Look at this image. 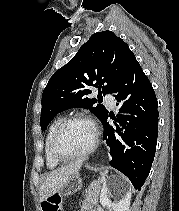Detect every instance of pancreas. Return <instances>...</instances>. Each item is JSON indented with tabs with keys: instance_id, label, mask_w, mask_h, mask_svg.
I'll use <instances>...</instances> for the list:
<instances>
[{
	"instance_id": "cf45deb5",
	"label": "pancreas",
	"mask_w": 179,
	"mask_h": 211,
	"mask_svg": "<svg viewBox=\"0 0 179 211\" xmlns=\"http://www.w3.org/2000/svg\"><path fill=\"white\" fill-rule=\"evenodd\" d=\"M101 188L100 180L93 182L85 192L80 211H90L97 203Z\"/></svg>"
}]
</instances>
